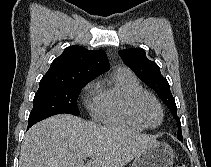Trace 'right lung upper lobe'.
<instances>
[{
    "instance_id": "obj_1",
    "label": "right lung upper lobe",
    "mask_w": 211,
    "mask_h": 167,
    "mask_svg": "<svg viewBox=\"0 0 211 167\" xmlns=\"http://www.w3.org/2000/svg\"><path fill=\"white\" fill-rule=\"evenodd\" d=\"M109 68V61L103 50L91 51L73 45L65 48L51 63L39 85H62L79 80H92Z\"/></svg>"
}]
</instances>
